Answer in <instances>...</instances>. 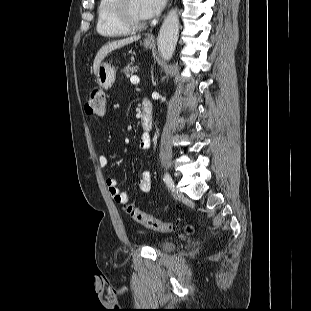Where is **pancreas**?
Masks as SVG:
<instances>
[{"label": "pancreas", "mask_w": 311, "mask_h": 311, "mask_svg": "<svg viewBox=\"0 0 311 311\" xmlns=\"http://www.w3.org/2000/svg\"><path fill=\"white\" fill-rule=\"evenodd\" d=\"M122 71L127 77H129L130 75H132L133 73H135L137 71V67L130 64V65L124 67V69Z\"/></svg>", "instance_id": "pancreas-1"}]
</instances>
